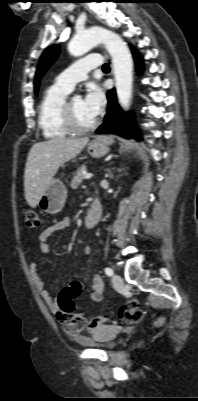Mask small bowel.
I'll return each mask as SVG.
<instances>
[{
    "instance_id": "c3829d8e",
    "label": "small bowel",
    "mask_w": 198,
    "mask_h": 401,
    "mask_svg": "<svg viewBox=\"0 0 198 401\" xmlns=\"http://www.w3.org/2000/svg\"><path fill=\"white\" fill-rule=\"evenodd\" d=\"M70 226L69 219H61L55 222L53 225L45 229L40 235V250L42 253L47 254L49 252V244L47 242L48 238L53 234L67 230ZM85 253L90 254V249L85 248ZM31 275L35 281L36 287L39 290L42 298L49 306L50 310L54 313L55 317L59 322L63 324L64 331L67 335L86 342V336H95L97 332L104 327V325H98L97 323L90 321L86 326L80 327L77 320V315H71L65 313L60 309L57 301L52 297L50 292L45 288L44 282L38 272L37 264L32 262L30 264ZM77 286L75 288V298L84 290L83 286L76 282ZM104 285L101 277L96 274L92 279V286L89 291V298L92 302H100L103 299Z\"/></svg>"
}]
</instances>
